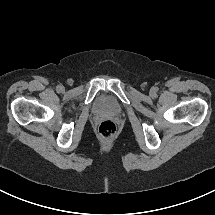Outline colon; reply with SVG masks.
<instances>
[{
  "mask_svg": "<svg viewBox=\"0 0 215 215\" xmlns=\"http://www.w3.org/2000/svg\"><path fill=\"white\" fill-rule=\"evenodd\" d=\"M98 131L102 137L111 138L115 135L117 126L113 121L105 120L100 123Z\"/></svg>",
  "mask_w": 215,
  "mask_h": 215,
  "instance_id": "5ec220e1",
  "label": "colon"
}]
</instances>
